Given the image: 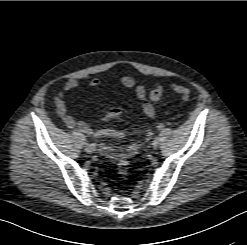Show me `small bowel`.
<instances>
[{
	"label": "small bowel",
	"instance_id": "small-bowel-1",
	"mask_svg": "<svg viewBox=\"0 0 247 245\" xmlns=\"http://www.w3.org/2000/svg\"><path fill=\"white\" fill-rule=\"evenodd\" d=\"M120 82L123 87L127 89H133L137 98L142 101V107L144 114L149 118L155 117V108L150 101L147 100L146 89L143 85L138 84L136 80L130 75H123L120 78ZM101 84L99 78H92L88 82V86L91 88L98 87ZM80 86V81L76 78L69 79L61 89V91L54 98V105L58 116L62 119L64 124L72 130H77L85 135L104 138L110 137L114 139H124L126 134L120 130V122L122 120V112L119 108H112L104 115L99 118L100 122L115 121V125L107 129L93 130L90 125L82 120L75 118L72 114L68 112L65 95L78 88ZM152 136V130L150 128L146 129L144 135L140 138L132 139L124 150L117 151L105 144L100 145V151L103 155L111 160H118L121 156H126L131 158L136 155L140 149L149 141Z\"/></svg>",
	"mask_w": 247,
	"mask_h": 245
}]
</instances>
